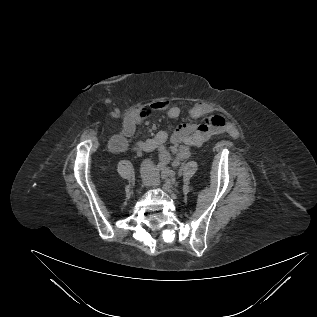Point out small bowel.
<instances>
[{
	"label": "small bowel",
	"mask_w": 317,
	"mask_h": 317,
	"mask_svg": "<svg viewBox=\"0 0 317 317\" xmlns=\"http://www.w3.org/2000/svg\"><path fill=\"white\" fill-rule=\"evenodd\" d=\"M151 108L163 111L170 119H177L181 115L179 107L172 105L168 100H158L151 104ZM211 108L207 103L198 102L189 109V117L191 122L180 124L169 135L166 131H159L154 137L146 140L136 141L132 149L141 154L142 151L151 152L157 150L159 152L160 161L164 164L169 163L171 153L174 154L173 163L186 160L190 157L191 147H200L207 142L215 134L228 131L234 133V128L226 122L221 115H209ZM139 121L135 119H127L124 121L120 132L115 134L109 140V150L113 153H121L128 148V138L131 137L138 126ZM170 139L172 147L168 150L164 144Z\"/></svg>",
	"instance_id": "c3829d8e"
}]
</instances>
